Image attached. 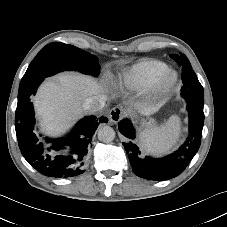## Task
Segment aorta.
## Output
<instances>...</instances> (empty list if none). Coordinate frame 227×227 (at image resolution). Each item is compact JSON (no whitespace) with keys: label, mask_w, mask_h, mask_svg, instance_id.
<instances>
[{"label":"aorta","mask_w":227,"mask_h":227,"mask_svg":"<svg viewBox=\"0 0 227 227\" xmlns=\"http://www.w3.org/2000/svg\"><path fill=\"white\" fill-rule=\"evenodd\" d=\"M115 138V131L110 126H103L98 131V139L104 143H110Z\"/></svg>","instance_id":"1"}]
</instances>
